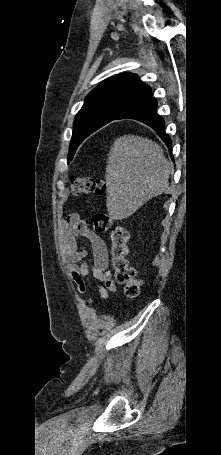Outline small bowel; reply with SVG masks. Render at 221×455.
<instances>
[{"mask_svg":"<svg viewBox=\"0 0 221 455\" xmlns=\"http://www.w3.org/2000/svg\"><path fill=\"white\" fill-rule=\"evenodd\" d=\"M62 251L66 261L74 266L73 277L80 292L85 291V284L82 277H94L98 288L99 296L102 300L109 297L110 293L115 292V284L107 271L108 253L104 241L97 236L87 224L76 214L69 216L61 224ZM79 237L86 239L91 247L93 260L84 262L82 258L85 253L79 249ZM90 304L94 300L86 298Z\"/></svg>","mask_w":221,"mask_h":455,"instance_id":"obj_1","label":"small bowel"}]
</instances>
